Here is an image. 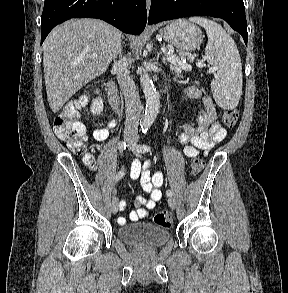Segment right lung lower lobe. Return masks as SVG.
<instances>
[{"label":"right lung lower lobe","mask_w":288,"mask_h":293,"mask_svg":"<svg viewBox=\"0 0 288 293\" xmlns=\"http://www.w3.org/2000/svg\"><path fill=\"white\" fill-rule=\"evenodd\" d=\"M82 17L99 18L125 33L139 35L147 23L146 0H45L41 44L57 24Z\"/></svg>","instance_id":"1"}]
</instances>
